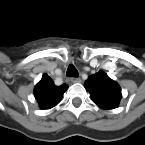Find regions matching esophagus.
Returning <instances> with one entry per match:
<instances>
[{"instance_id": "34e87169", "label": "esophagus", "mask_w": 145, "mask_h": 145, "mask_svg": "<svg viewBox=\"0 0 145 145\" xmlns=\"http://www.w3.org/2000/svg\"><path fill=\"white\" fill-rule=\"evenodd\" d=\"M70 81H71L72 83H80V82H81V79H80V78H77V77H72V78L70 79Z\"/></svg>"}]
</instances>
